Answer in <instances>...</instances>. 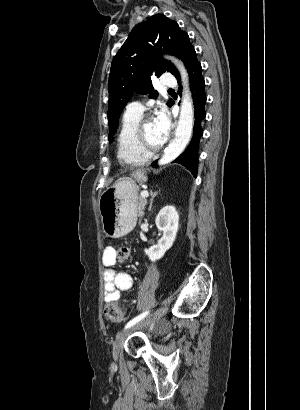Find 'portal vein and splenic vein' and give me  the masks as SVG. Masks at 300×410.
Listing matches in <instances>:
<instances>
[{
  "label": "portal vein and splenic vein",
  "instance_id": "18ae733b",
  "mask_svg": "<svg viewBox=\"0 0 300 410\" xmlns=\"http://www.w3.org/2000/svg\"><path fill=\"white\" fill-rule=\"evenodd\" d=\"M140 195H141L142 198H147L149 196V193H148L147 190H143V191H141Z\"/></svg>",
  "mask_w": 300,
  "mask_h": 410
}]
</instances>
